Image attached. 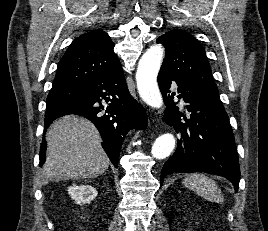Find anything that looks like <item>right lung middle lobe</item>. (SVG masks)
<instances>
[{
    "instance_id": "1",
    "label": "right lung middle lobe",
    "mask_w": 268,
    "mask_h": 231,
    "mask_svg": "<svg viewBox=\"0 0 268 231\" xmlns=\"http://www.w3.org/2000/svg\"><path fill=\"white\" fill-rule=\"evenodd\" d=\"M83 92V88L79 87H53L48 95L46 106L57 105L68 100L76 99Z\"/></svg>"
}]
</instances>
